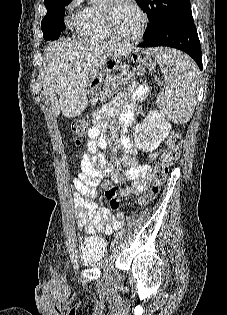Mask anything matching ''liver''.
<instances>
[{
	"label": "liver",
	"instance_id": "6515ba94",
	"mask_svg": "<svg viewBox=\"0 0 227 315\" xmlns=\"http://www.w3.org/2000/svg\"><path fill=\"white\" fill-rule=\"evenodd\" d=\"M122 52L94 41L58 40L45 47L43 95L51 101L55 117L79 116L88 105V85ZM56 94H58L59 99Z\"/></svg>",
	"mask_w": 227,
	"mask_h": 315
}]
</instances>
